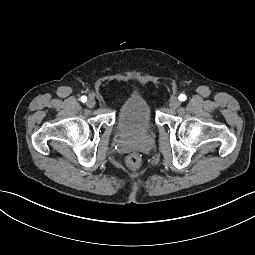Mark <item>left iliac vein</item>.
Masks as SVG:
<instances>
[{
  "instance_id": "obj_1",
  "label": "left iliac vein",
  "mask_w": 255,
  "mask_h": 255,
  "mask_svg": "<svg viewBox=\"0 0 255 255\" xmlns=\"http://www.w3.org/2000/svg\"><path fill=\"white\" fill-rule=\"evenodd\" d=\"M180 104H181V102L177 97H172L170 99L169 105L172 109H177L180 106Z\"/></svg>"
}]
</instances>
